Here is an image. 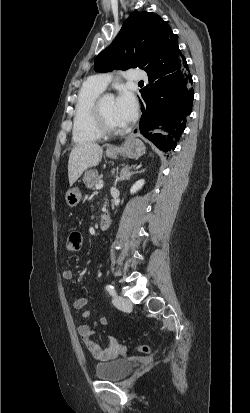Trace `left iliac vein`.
<instances>
[{
  "instance_id": "left-iliac-vein-1",
  "label": "left iliac vein",
  "mask_w": 250,
  "mask_h": 413,
  "mask_svg": "<svg viewBox=\"0 0 250 413\" xmlns=\"http://www.w3.org/2000/svg\"><path fill=\"white\" fill-rule=\"evenodd\" d=\"M113 304L121 310H128L132 306L131 301L128 298L120 295L113 297Z\"/></svg>"
}]
</instances>
